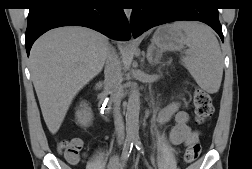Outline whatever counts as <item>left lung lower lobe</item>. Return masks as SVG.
Masks as SVG:
<instances>
[{
  "mask_svg": "<svg viewBox=\"0 0 252 169\" xmlns=\"http://www.w3.org/2000/svg\"><path fill=\"white\" fill-rule=\"evenodd\" d=\"M161 7L152 10H134L130 20L132 35L136 38L152 27L181 20L203 22L212 27L223 41L218 7L214 0H164Z\"/></svg>",
  "mask_w": 252,
  "mask_h": 169,
  "instance_id": "0a47b994",
  "label": "left lung lower lobe"
}]
</instances>
